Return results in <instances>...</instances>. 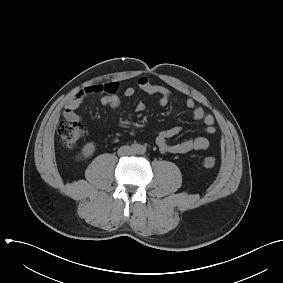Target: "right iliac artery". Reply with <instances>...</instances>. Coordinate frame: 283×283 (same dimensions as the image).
Here are the masks:
<instances>
[{"label":"right iliac artery","mask_w":283,"mask_h":283,"mask_svg":"<svg viewBox=\"0 0 283 283\" xmlns=\"http://www.w3.org/2000/svg\"><path fill=\"white\" fill-rule=\"evenodd\" d=\"M131 148H132V150H134V151H138V150H139V145L136 144V143H134V144L131 145Z\"/></svg>","instance_id":"right-iliac-artery-1"}]
</instances>
